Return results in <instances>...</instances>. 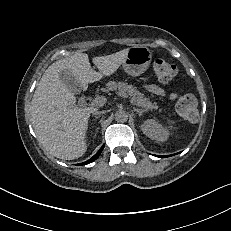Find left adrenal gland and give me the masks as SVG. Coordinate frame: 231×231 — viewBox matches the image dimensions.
<instances>
[{"mask_svg": "<svg viewBox=\"0 0 231 231\" xmlns=\"http://www.w3.org/2000/svg\"><path fill=\"white\" fill-rule=\"evenodd\" d=\"M133 110L135 111V112H137L138 114H139V116H142V113L143 112H145V110L144 109H138V108H133Z\"/></svg>", "mask_w": 231, "mask_h": 231, "instance_id": "1", "label": "left adrenal gland"}]
</instances>
